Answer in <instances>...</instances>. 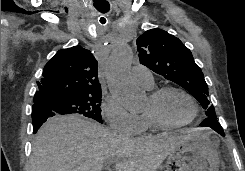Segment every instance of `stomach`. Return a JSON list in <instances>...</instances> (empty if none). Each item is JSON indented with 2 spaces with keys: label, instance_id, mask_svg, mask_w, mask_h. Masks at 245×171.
Wrapping results in <instances>:
<instances>
[{
  "label": "stomach",
  "instance_id": "1",
  "mask_svg": "<svg viewBox=\"0 0 245 171\" xmlns=\"http://www.w3.org/2000/svg\"><path fill=\"white\" fill-rule=\"evenodd\" d=\"M218 139L211 132H195L167 158L166 171H219Z\"/></svg>",
  "mask_w": 245,
  "mask_h": 171
}]
</instances>
